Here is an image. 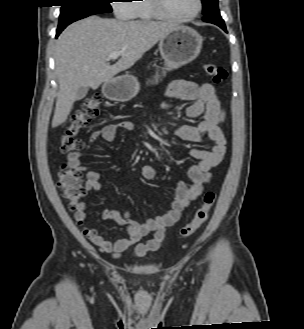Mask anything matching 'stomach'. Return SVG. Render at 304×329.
I'll list each match as a JSON object with an SVG mask.
<instances>
[{"mask_svg":"<svg viewBox=\"0 0 304 329\" xmlns=\"http://www.w3.org/2000/svg\"><path fill=\"white\" fill-rule=\"evenodd\" d=\"M203 38L194 29L187 26H176L164 38L160 39L159 51L164 60L162 74L190 63L199 55ZM160 75L154 79L158 82ZM140 85L131 75H123L104 83L102 92L112 101L127 102L139 92Z\"/></svg>","mask_w":304,"mask_h":329,"instance_id":"obj_1","label":"stomach"}]
</instances>
